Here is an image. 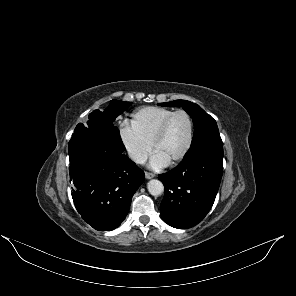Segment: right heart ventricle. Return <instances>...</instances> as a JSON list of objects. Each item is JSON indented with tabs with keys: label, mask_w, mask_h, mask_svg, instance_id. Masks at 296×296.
Returning a JSON list of instances; mask_svg holds the SVG:
<instances>
[{
	"label": "right heart ventricle",
	"mask_w": 296,
	"mask_h": 296,
	"mask_svg": "<svg viewBox=\"0 0 296 296\" xmlns=\"http://www.w3.org/2000/svg\"><path fill=\"white\" fill-rule=\"evenodd\" d=\"M172 112V109L164 107H146L140 109L132 115L131 128L141 139L151 145L159 126Z\"/></svg>",
	"instance_id": "e07e8e85"
}]
</instances>
